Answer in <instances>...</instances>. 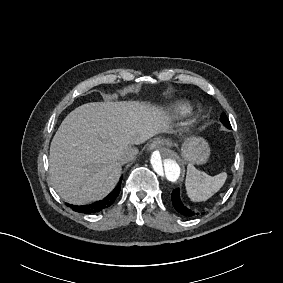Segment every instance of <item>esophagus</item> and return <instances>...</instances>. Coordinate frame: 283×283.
Returning a JSON list of instances; mask_svg holds the SVG:
<instances>
[{"label":"esophagus","instance_id":"obj_1","mask_svg":"<svg viewBox=\"0 0 283 283\" xmlns=\"http://www.w3.org/2000/svg\"><path fill=\"white\" fill-rule=\"evenodd\" d=\"M165 144V140L163 138H157L152 141L148 147L149 150L159 149Z\"/></svg>","mask_w":283,"mask_h":283}]
</instances>
